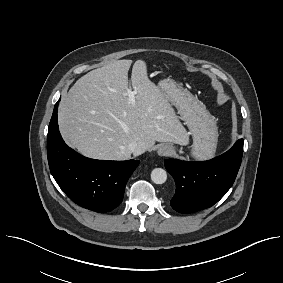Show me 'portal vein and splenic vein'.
<instances>
[{"label": "portal vein and splenic vein", "mask_w": 283, "mask_h": 283, "mask_svg": "<svg viewBox=\"0 0 283 283\" xmlns=\"http://www.w3.org/2000/svg\"><path fill=\"white\" fill-rule=\"evenodd\" d=\"M127 94H128V97H129V100L131 102V104H135V94L136 92L135 91H131L130 89L127 91Z\"/></svg>", "instance_id": "obj_1"}]
</instances>
